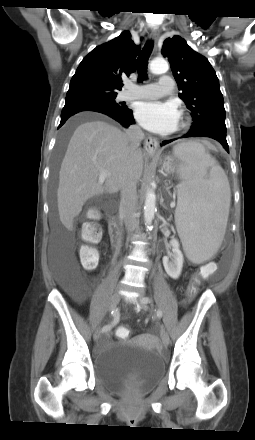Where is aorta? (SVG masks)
<instances>
[{"label": "aorta", "mask_w": 255, "mask_h": 440, "mask_svg": "<svg viewBox=\"0 0 255 440\" xmlns=\"http://www.w3.org/2000/svg\"><path fill=\"white\" fill-rule=\"evenodd\" d=\"M169 69L167 61L164 59H154L150 63V71L153 74H163ZM156 211V195L152 189H148L144 203L145 225L150 228Z\"/></svg>", "instance_id": "762f6f07"}]
</instances>
